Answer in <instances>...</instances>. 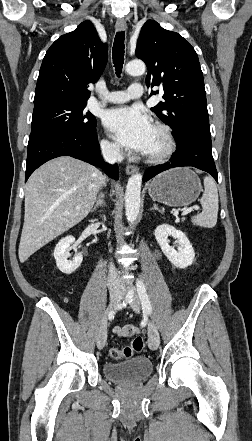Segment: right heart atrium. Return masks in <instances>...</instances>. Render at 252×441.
I'll use <instances>...</instances> for the list:
<instances>
[{"label":"right heart atrium","mask_w":252,"mask_h":441,"mask_svg":"<svg viewBox=\"0 0 252 441\" xmlns=\"http://www.w3.org/2000/svg\"><path fill=\"white\" fill-rule=\"evenodd\" d=\"M101 148L103 152L110 157H119L122 154L120 146L107 139L101 141Z\"/></svg>","instance_id":"d8ad5b80"}]
</instances>
